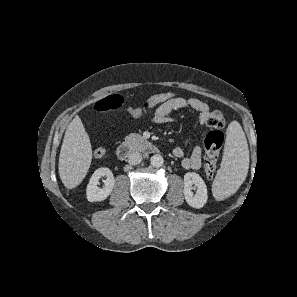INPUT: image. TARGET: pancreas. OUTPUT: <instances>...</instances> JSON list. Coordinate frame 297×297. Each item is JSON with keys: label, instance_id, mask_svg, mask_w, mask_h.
<instances>
[{"label": "pancreas", "instance_id": "cf45deb5", "mask_svg": "<svg viewBox=\"0 0 297 297\" xmlns=\"http://www.w3.org/2000/svg\"><path fill=\"white\" fill-rule=\"evenodd\" d=\"M145 141L141 135L135 133H131L125 137V144L134 149L142 148Z\"/></svg>", "mask_w": 297, "mask_h": 297}]
</instances>
